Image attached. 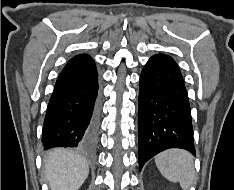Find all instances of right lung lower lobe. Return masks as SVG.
Listing matches in <instances>:
<instances>
[{
	"label": "right lung lower lobe",
	"instance_id": "1",
	"mask_svg": "<svg viewBox=\"0 0 234 190\" xmlns=\"http://www.w3.org/2000/svg\"><path fill=\"white\" fill-rule=\"evenodd\" d=\"M98 73L90 56L73 57L60 73L44 120L47 148L78 147L95 142L98 130Z\"/></svg>",
	"mask_w": 234,
	"mask_h": 190
}]
</instances>
